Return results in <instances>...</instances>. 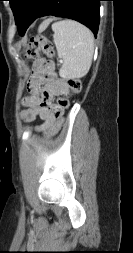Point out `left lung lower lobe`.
Wrapping results in <instances>:
<instances>
[{"label":"left lung lower lobe","mask_w":133,"mask_h":253,"mask_svg":"<svg viewBox=\"0 0 133 253\" xmlns=\"http://www.w3.org/2000/svg\"><path fill=\"white\" fill-rule=\"evenodd\" d=\"M100 1L103 0H26L16 23L18 32L23 36L37 18L53 15L79 21L96 37L100 20Z\"/></svg>","instance_id":"obj_1"}]
</instances>
